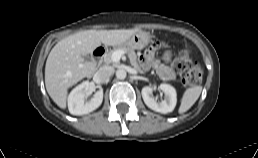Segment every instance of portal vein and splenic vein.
<instances>
[{"label":"portal vein and splenic vein","mask_w":258,"mask_h":158,"mask_svg":"<svg viewBox=\"0 0 258 158\" xmlns=\"http://www.w3.org/2000/svg\"><path fill=\"white\" fill-rule=\"evenodd\" d=\"M124 54V51H116L112 54V60L118 62L121 59V56Z\"/></svg>","instance_id":"18ae733b"}]
</instances>
